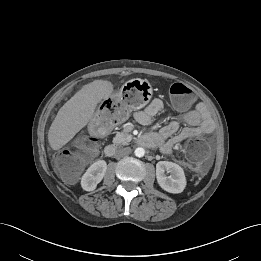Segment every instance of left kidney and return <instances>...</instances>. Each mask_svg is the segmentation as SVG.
I'll return each instance as SVG.
<instances>
[{"mask_svg":"<svg viewBox=\"0 0 261 261\" xmlns=\"http://www.w3.org/2000/svg\"><path fill=\"white\" fill-rule=\"evenodd\" d=\"M166 173L170 175L167 176ZM156 178L159 186L169 193H181L186 187L183 169L173 162L159 161L156 164Z\"/></svg>","mask_w":261,"mask_h":261,"instance_id":"left-kidney-1","label":"left kidney"}]
</instances>
